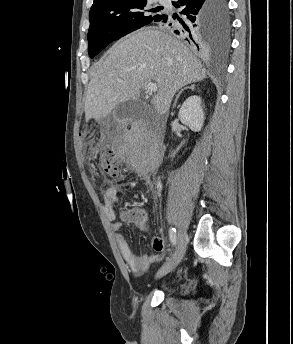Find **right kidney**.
Returning <instances> with one entry per match:
<instances>
[{"label": "right kidney", "mask_w": 293, "mask_h": 344, "mask_svg": "<svg viewBox=\"0 0 293 344\" xmlns=\"http://www.w3.org/2000/svg\"><path fill=\"white\" fill-rule=\"evenodd\" d=\"M201 104V98L193 95L185 100L178 113L179 120L194 132L202 129L205 120Z\"/></svg>", "instance_id": "ca27d5eb"}]
</instances>
